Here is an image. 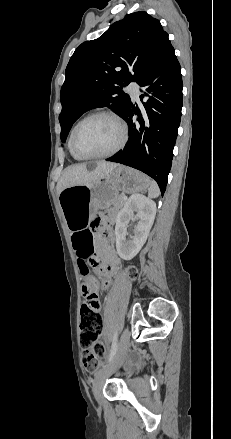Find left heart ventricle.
I'll return each instance as SVG.
<instances>
[{
    "instance_id": "obj_1",
    "label": "left heart ventricle",
    "mask_w": 231,
    "mask_h": 439,
    "mask_svg": "<svg viewBox=\"0 0 231 439\" xmlns=\"http://www.w3.org/2000/svg\"><path fill=\"white\" fill-rule=\"evenodd\" d=\"M119 139L120 130L114 121L107 117H95L78 128L75 146L84 154H101L114 148Z\"/></svg>"
}]
</instances>
